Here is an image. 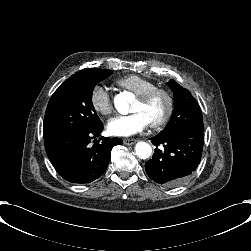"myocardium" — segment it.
<instances>
[{"label": "myocardium", "instance_id": "f54148a6", "mask_svg": "<svg viewBox=\"0 0 251 251\" xmlns=\"http://www.w3.org/2000/svg\"><path fill=\"white\" fill-rule=\"evenodd\" d=\"M157 94H163L167 99V109L163 116L158 119L152 120L153 127H160L165 125L172 117L175 110V97L174 94L166 88L155 86L152 89L138 95V99L145 103H149Z\"/></svg>", "mask_w": 251, "mask_h": 251}]
</instances>
